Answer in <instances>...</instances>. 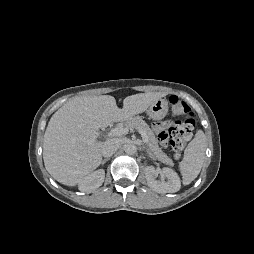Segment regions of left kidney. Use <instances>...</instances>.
I'll return each mask as SVG.
<instances>
[{"mask_svg":"<svg viewBox=\"0 0 254 254\" xmlns=\"http://www.w3.org/2000/svg\"><path fill=\"white\" fill-rule=\"evenodd\" d=\"M156 169L153 166H147L144 169L145 177L148 183V186L152 188L154 191L158 193H175L179 191L181 187V182L178 174L170 169V168H163L162 173L167 178V181H158L155 178Z\"/></svg>","mask_w":254,"mask_h":254,"instance_id":"obj_1","label":"left kidney"}]
</instances>
